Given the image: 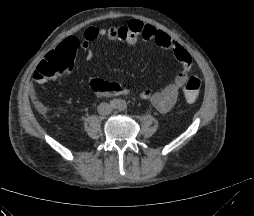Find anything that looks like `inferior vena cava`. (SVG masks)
Instances as JSON below:
<instances>
[{
    "label": "inferior vena cava",
    "mask_w": 254,
    "mask_h": 216,
    "mask_svg": "<svg viewBox=\"0 0 254 216\" xmlns=\"http://www.w3.org/2000/svg\"><path fill=\"white\" fill-rule=\"evenodd\" d=\"M97 110L100 115H108L112 112V107L108 103H101L99 104Z\"/></svg>",
    "instance_id": "obj_1"
}]
</instances>
